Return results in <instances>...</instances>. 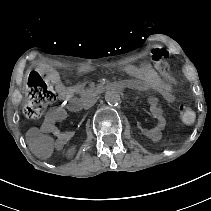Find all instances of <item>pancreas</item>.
I'll return each mask as SVG.
<instances>
[{"label":"pancreas","mask_w":211,"mask_h":211,"mask_svg":"<svg viewBox=\"0 0 211 211\" xmlns=\"http://www.w3.org/2000/svg\"><path fill=\"white\" fill-rule=\"evenodd\" d=\"M92 94H93V89H92V88L83 90V91L81 92V98H82V100L85 102V101H87V100L90 98V96H91Z\"/></svg>","instance_id":"1"}]
</instances>
